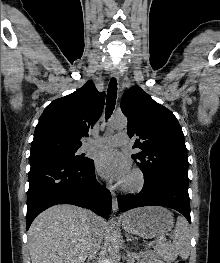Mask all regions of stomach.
<instances>
[{"mask_svg": "<svg viewBox=\"0 0 220 263\" xmlns=\"http://www.w3.org/2000/svg\"><path fill=\"white\" fill-rule=\"evenodd\" d=\"M172 214L163 207L147 206L127 212L123 216L125 231L143 238H154L166 234L173 227Z\"/></svg>", "mask_w": 220, "mask_h": 263, "instance_id": "stomach-1", "label": "stomach"}]
</instances>
